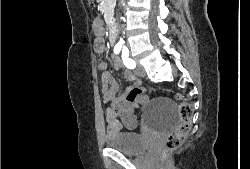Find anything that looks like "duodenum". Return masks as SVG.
<instances>
[{
    "instance_id": "410a0bca",
    "label": "duodenum",
    "mask_w": 250,
    "mask_h": 169,
    "mask_svg": "<svg viewBox=\"0 0 250 169\" xmlns=\"http://www.w3.org/2000/svg\"><path fill=\"white\" fill-rule=\"evenodd\" d=\"M109 37H110V41H111L112 43H115V42H116L117 33H116V29H115L113 23L110 24V28H109Z\"/></svg>"
}]
</instances>
